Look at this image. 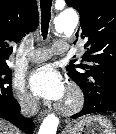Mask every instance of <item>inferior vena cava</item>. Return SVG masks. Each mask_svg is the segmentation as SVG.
Wrapping results in <instances>:
<instances>
[{"instance_id": "obj_1", "label": "inferior vena cava", "mask_w": 116, "mask_h": 134, "mask_svg": "<svg viewBox=\"0 0 116 134\" xmlns=\"http://www.w3.org/2000/svg\"><path fill=\"white\" fill-rule=\"evenodd\" d=\"M38 111V98H31L21 106V113L24 116H34Z\"/></svg>"}]
</instances>
